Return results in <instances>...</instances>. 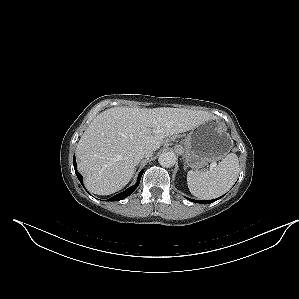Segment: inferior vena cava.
Instances as JSON below:
<instances>
[{"label": "inferior vena cava", "mask_w": 299, "mask_h": 299, "mask_svg": "<svg viewBox=\"0 0 299 299\" xmlns=\"http://www.w3.org/2000/svg\"><path fill=\"white\" fill-rule=\"evenodd\" d=\"M153 154V152L151 150H147V149H142L139 150L135 155H134V160L135 162L138 164V162L143 159V158H147V157H151Z\"/></svg>", "instance_id": "obj_1"}]
</instances>
